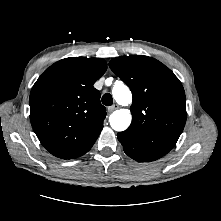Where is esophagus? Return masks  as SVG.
<instances>
[{
	"instance_id": "esophagus-1",
	"label": "esophagus",
	"mask_w": 221,
	"mask_h": 221,
	"mask_svg": "<svg viewBox=\"0 0 221 221\" xmlns=\"http://www.w3.org/2000/svg\"><path fill=\"white\" fill-rule=\"evenodd\" d=\"M118 108V105L117 104H114V105H112V106H109L108 108H107V110H108V112H113L114 110H116Z\"/></svg>"
}]
</instances>
